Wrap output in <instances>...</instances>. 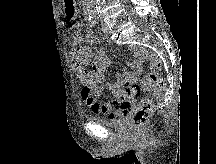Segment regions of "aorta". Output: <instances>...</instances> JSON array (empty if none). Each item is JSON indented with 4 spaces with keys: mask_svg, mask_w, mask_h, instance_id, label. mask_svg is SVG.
<instances>
[{
    "mask_svg": "<svg viewBox=\"0 0 216 164\" xmlns=\"http://www.w3.org/2000/svg\"><path fill=\"white\" fill-rule=\"evenodd\" d=\"M87 1L88 12L91 16H96L97 14V2L98 0H85Z\"/></svg>",
    "mask_w": 216,
    "mask_h": 164,
    "instance_id": "aorta-1",
    "label": "aorta"
}]
</instances>
